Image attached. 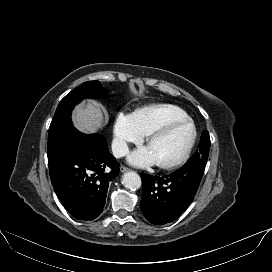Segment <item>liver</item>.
<instances>
[{
  "instance_id": "liver-1",
  "label": "liver",
  "mask_w": 272,
  "mask_h": 272,
  "mask_svg": "<svg viewBox=\"0 0 272 272\" xmlns=\"http://www.w3.org/2000/svg\"><path fill=\"white\" fill-rule=\"evenodd\" d=\"M72 121L76 129L83 133H95L102 127L104 117L101 108L91 102L77 106L72 114Z\"/></svg>"
}]
</instances>
